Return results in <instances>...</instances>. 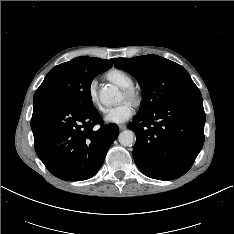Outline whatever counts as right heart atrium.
Instances as JSON below:
<instances>
[{"label": "right heart atrium", "instance_id": "1", "mask_svg": "<svg viewBox=\"0 0 234 234\" xmlns=\"http://www.w3.org/2000/svg\"><path fill=\"white\" fill-rule=\"evenodd\" d=\"M87 96L90 104L98 109L99 111H103V107L100 104L98 93H97V85L95 81H92L87 88Z\"/></svg>", "mask_w": 234, "mask_h": 234}]
</instances>
